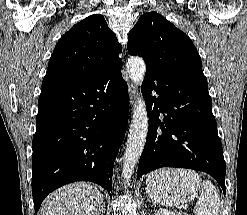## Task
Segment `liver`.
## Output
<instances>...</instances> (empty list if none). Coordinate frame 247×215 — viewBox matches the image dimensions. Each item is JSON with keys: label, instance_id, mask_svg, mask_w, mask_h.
<instances>
[{"label": "liver", "instance_id": "1", "mask_svg": "<svg viewBox=\"0 0 247 215\" xmlns=\"http://www.w3.org/2000/svg\"><path fill=\"white\" fill-rule=\"evenodd\" d=\"M103 196L86 182L68 184L52 193L43 203V215H101Z\"/></svg>", "mask_w": 247, "mask_h": 215}]
</instances>
